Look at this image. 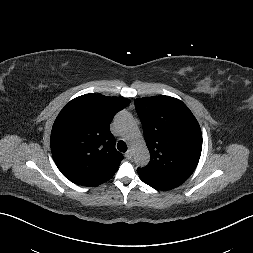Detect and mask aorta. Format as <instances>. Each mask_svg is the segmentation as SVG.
<instances>
[{"mask_svg": "<svg viewBox=\"0 0 253 253\" xmlns=\"http://www.w3.org/2000/svg\"><path fill=\"white\" fill-rule=\"evenodd\" d=\"M116 122L133 149L135 163L139 166L146 165L149 162L150 154L132 116L120 114Z\"/></svg>", "mask_w": 253, "mask_h": 253, "instance_id": "1", "label": "aorta"}]
</instances>
